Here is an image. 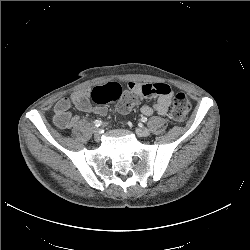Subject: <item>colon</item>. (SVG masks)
Wrapping results in <instances>:
<instances>
[{"mask_svg": "<svg viewBox=\"0 0 250 250\" xmlns=\"http://www.w3.org/2000/svg\"><path fill=\"white\" fill-rule=\"evenodd\" d=\"M93 101L100 105L115 104L117 109L126 113L137 105L142 95L131 90H123L117 83H107L103 86H97L91 91ZM191 106L184 93H176L173 98V104L170 116L176 122H184L190 112Z\"/></svg>", "mask_w": 250, "mask_h": 250, "instance_id": "obj_1", "label": "colon"}]
</instances>
